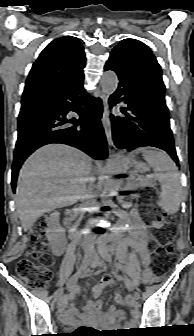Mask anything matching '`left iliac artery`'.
I'll use <instances>...</instances> for the list:
<instances>
[{
	"label": "left iliac artery",
	"mask_w": 194,
	"mask_h": 336,
	"mask_svg": "<svg viewBox=\"0 0 194 336\" xmlns=\"http://www.w3.org/2000/svg\"><path fill=\"white\" fill-rule=\"evenodd\" d=\"M125 282H126V286H127V288H128L129 290H132V289H133V284H132V282H131L128 278L125 279Z\"/></svg>",
	"instance_id": "1"
}]
</instances>
